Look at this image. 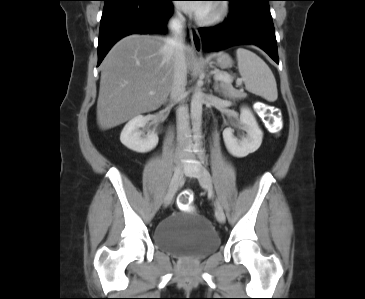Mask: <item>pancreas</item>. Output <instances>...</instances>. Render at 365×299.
Returning a JSON list of instances; mask_svg holds the SVG:
<instances>
[{"label":"pancreas","instance_id":"pancreas-1","mask_svg":"<svg viewBox=\"0 0 365 299\" xmlns=\"http://www.w3.org/2000/svg\"><path fill=\"white\" fill-rule=\"evenodd\" d=\"M217 74H227V73L218 72ZM220 86H221L222 90L224 91V94L225 95H228V96H230L232 98L241 99V98H245L246 97V93L235 90L232 87L231 83H229V82L221 81L220 82Z\"/></svg>","mask_w":365,"mask_h":299}]
</instances>
